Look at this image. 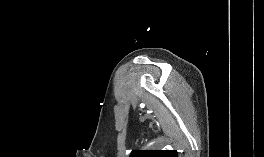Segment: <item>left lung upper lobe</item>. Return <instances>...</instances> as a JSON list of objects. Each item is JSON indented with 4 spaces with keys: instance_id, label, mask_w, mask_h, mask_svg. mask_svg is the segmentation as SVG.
<instances>
[{
    "instance_id": "5c2ea615",
    "label": "left lung upper lobe",
    "mask_w": 264,
    "mask_h": 157,
    "mask_svg": "<svg viewBox=\"0 0 264 157\" xmlns=\"http://www.w3.org/2000/svg\"><path fill=\"white\" fill-rule=\"evenodd\" d=\"M130 157H178L175 150H133Z\"/></svg>"
}]
</instances>
